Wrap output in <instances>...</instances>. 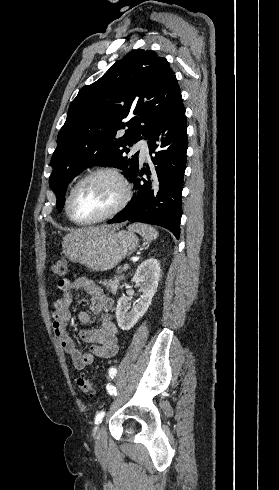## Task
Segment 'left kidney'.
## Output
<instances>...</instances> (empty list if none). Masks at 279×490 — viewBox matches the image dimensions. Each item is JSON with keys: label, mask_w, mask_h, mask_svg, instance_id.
I'll return each mask as SVG.
<instances>
[{"label": "left kidney", "mask_w": 279, "mask_h": 490, "mask_svg": "<svg viewBox=\"0 0 279 490\" xmlns=\"http://www.w3.org/2000/svg\"><path fill=\"white\" fill-rule=\"evenodd\" d=\"M160 262L155 258H149L138 266L131 282L139 286L142 296L141 300L132 306L129 298H119L116 308V320L120 330H131L138 320L146 314L151 306L152 298L155 296L160 282Z\"/></svg>", "instance_id": "1"}]
</instances>
